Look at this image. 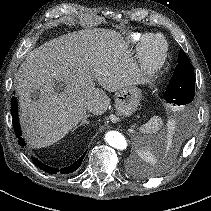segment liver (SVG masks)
Segmentation results:
<instances>
[{"label": "liver", "instance_id": "6515ba94", "mask_svg": "<svg viewBox=\"0 0 211 211\" xmlns=\"http://www.w3.org/2000/svg\"><path fill=\"white\" fill-rule=\"evenodd\" d=\"M109 92L136 82L127 42L113 30L94 28L52 39L31 51L15 75L20 123L32 148L54 144L84 119L87 104L103 114ZM60 83L61 88H56ZM39 98L32 100L33 93Z\"/></svg>", "mask_w": 211, "mask_h": 211}]
</instances>
